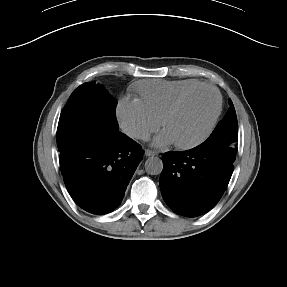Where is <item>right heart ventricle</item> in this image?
Instances as JSON below:
<instances>
[{
  "instance_id": "obj_1",
  "label": "right heart ventricle",
  "mask_w": 287,
  "mask_h": 287,
  "mask_svg": "<svg viewBox=\"0 0 287 287\" xmlns=\"http://www.w3.org/2000/svg\"><path fill=\"white\" fill-rule=\"evenodd\" d=\"M200 84L202 83L193 79L146 80L139 83L136 88L147 109L161 121L166 111L179 96Z\"/></svg>"
}]
</instances>
